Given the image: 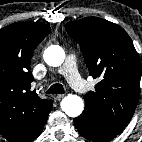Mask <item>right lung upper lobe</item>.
<instances>
[{
	"label": "right lung upper lobe",
	"mask_w": 142,
	"mask_h": 142,
	"mask_svg": "<svg viewBox=\"0 0 142 142\" xmlns=\"http://www.w3.org/2000/svg\"><path fill=\"white\" fill-rule=\"evenodd\" d=\"M50 31L37 22L0 29V133L11 142L37 138L52 109V101L31 90L30 73L33 51Z\"/></svg>",
	"instance_id": "right-lung-upper-lobe-1"
}]
</instances>
